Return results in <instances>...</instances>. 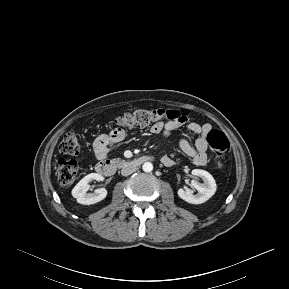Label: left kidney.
Masks as SVG:
<instances>
[{
  "label": "left kidney",
  "instance_id": "left-kidney-1",
  "mask_svg": "<svg viewBox=\"0 0 289 289\" xmlns=\"http://www.w3.org/2000/svg\"><path fill=\"white\" fill-rule=\"evenodd\" d=\"M192 175L203 179L204 183H199L196 179L192 180L191 185L198 193L193 194V190L189 188L178 190V196L184 201L191 204H202L211 198L216 192V182L213 176L205 170L194 169Z\"/></svg>",
  "mask_w": 289,
  "mask_h": 289
}]
</instances>
